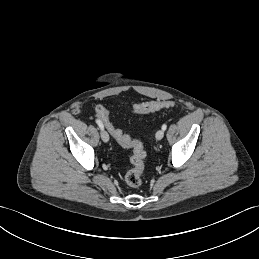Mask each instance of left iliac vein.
Wrapping results in <instances>:
<instances>
[{
	"label": "left iliac vein",
	"mask_w": 259,
	"mask_h": 259,
	"mask_svg": "<svg viewBox=\"0 0 259 259\" xmlns=\"http://www.w3.org/2000/svg\"><path fill=\"white\" fill-rule=\"evenodd\" d=\"M155 137L156 140H161L164 137V130H158Z\"/></svg>",
	"instance_id": "4c4485c4"
}]
</instances>
